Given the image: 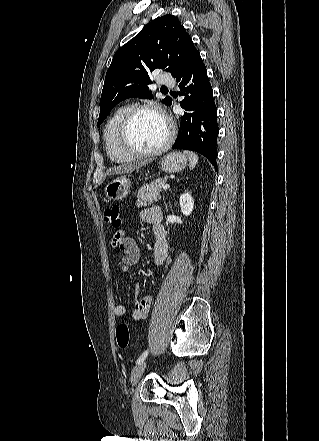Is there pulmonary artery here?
<instances>
[{
	"mask_svg": "<svg viewBox=\"0 0 319 441\" xmlns=\"http://www.w3.org/2000/svg\"><path fill=\"white\" fill-rule=\"evenodd\" d=\"M159 83L166 86H173L175 81L170 75L162 74L159 77Z\"/></svg>",
	"mask_w": 319,
	"mask_h": 441,
	"instance_id": "pulmonary-artery-1",
	"label": "pulmonary artery"
}]
</instances>
